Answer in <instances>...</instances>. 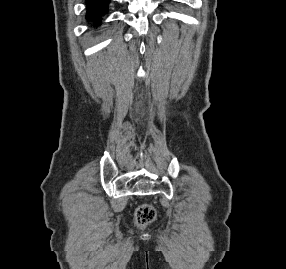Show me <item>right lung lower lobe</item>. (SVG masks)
<instances>
[{
	"label": "right lung lower lobe",
	"instance_id": "obj_1",
	"mask_svg": "<svg viewBox=\"0 0 286 269\" xmlns=\"http://www.w3.org/2000/svg\"><path fill=\"white\" fill-rule=\"evenodd\" d=\"M87 1V20H91L95 25L100 24L101 15L108 9L110 0H86Z\"/></svg>",
	"mask_w": 286,
	"mask_h": 269
}]
</instances>
